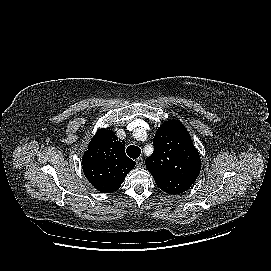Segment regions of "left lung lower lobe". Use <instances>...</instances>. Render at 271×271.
Here are the masks:
<instances>
[{
    "label": "left lung lower lobe",
    "instance_id": "1",
    "mask_svg": "<svg viewBox=\"0 0 271 271\" xmlns=\"http://www.w3.org/2000/svg\"><path fill=\"white\" fill-rule=\"evenodd\" d=\"M178 183H179V184H178V186H179L178 190L180 191V193L185 192V191L188 190L189 187L191 186V185H189L188 183L182 182V181H179ZM180 193H179V194H180Z\"/></svg>",
    "mask_w": 271,
    "mask_h": 271
}]
</instances>
